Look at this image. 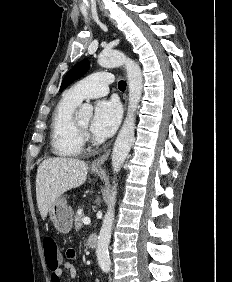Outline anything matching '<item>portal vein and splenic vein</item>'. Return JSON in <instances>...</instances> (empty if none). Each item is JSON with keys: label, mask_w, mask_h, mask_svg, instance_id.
<instances>
[{"label": "portal vein and splenic vein", "mask_w": 232, "mask_h": 282, "mask_svg": "<svg viewBox=\"0 0 232 282\" xmlns=\"http://www.w3.org/2000/svg\"><path fill=\"white\" fill-rule=\"evenodd\" d=\"M83 223H84L85 225L90 224V218H89V217H84V218H83Z\"/></svg>", "instance_id": "1"}]
</instances>
